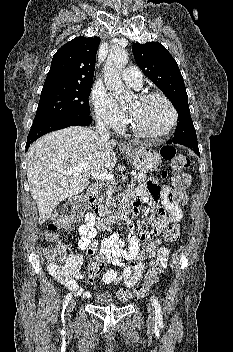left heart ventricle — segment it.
<instances>
[{
    "instance_id": "obj_1",
    "label": "left heart ventricle",
    "mask_w": 233,
    "mask_h": 352,
    "mask_svg": "<svg viewBox=\"0 0 233 352\" xmlns=\"http://www.w3.org/2000/svg\"><path fill=\"white\" fill-rule=\"evenodd\" d=\"M127 112L137 127L149 133L164 131L171 121L169 107L159 98L147 101L135 99L127 108Z\"/></svg>"
}]
</instances>
